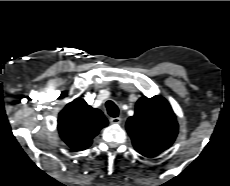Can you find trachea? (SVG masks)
<instances>
[{
    "instance_id": "trachea-1",
    "label": "trachea",
    "mask_w": 230,
    "mask_h": 186,
    "mask_svg": "<svg viewBox=\"0 0 230 186\" xmlns=\"http://www.w3.org/2000/svg\"><path fill=\"white\" fill-rule=\"evenodd\" d=\"M106 108H107V112L111 117H118L119 115V109L117 107V105L109 100L106 102Z\"/></svg>"
}]
</instances>
